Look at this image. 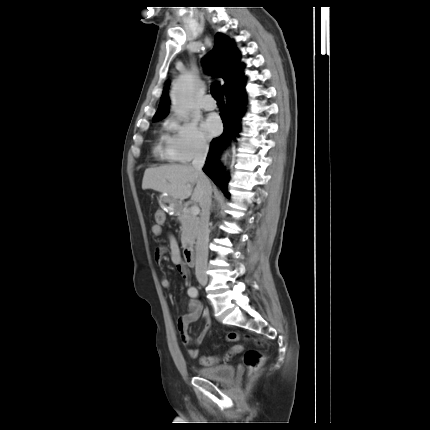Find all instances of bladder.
<instances>
[{
	"label": "bladder",
	"mask_w": 430,
	"mask_h": 430,
	"mask_svg": "<svg viewBox=\"0 0 430 430\" xmlns=\"http://www.w3.org/2000/svg\"><path fill=\"white\" fill-rule=\"evenodd\" d=\"M198 376L215 382H227L234 377L235 368L228 364L204 366L196 369Z\"/></svg>",
	"instance_id": "bladder-1"
}]
</instances>
